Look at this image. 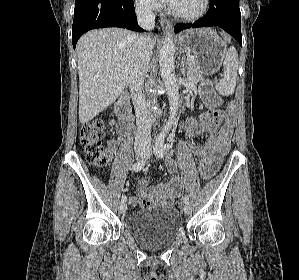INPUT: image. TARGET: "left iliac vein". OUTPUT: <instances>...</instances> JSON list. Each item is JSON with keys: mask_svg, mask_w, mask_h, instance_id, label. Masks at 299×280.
Instances as JSON below:
<instances>
[{"mask_svg": "<svg viewBox=\"0 0 299 280\" xmlns=\"http://www.w3.org/2000/svg\"><path fill=\"white\" fill-rule=\"evenodd\" d=\"M149 154H150V151H148L147 155H149ZM184 212L187 215H189L191 213V206L189 204H185V206H184Z\"/></svg>", "mask_w": 299, "mask_h": 280, "instance_id": "left-iliac-vein-1", "label": "left iliac vein"}]
</instances>
